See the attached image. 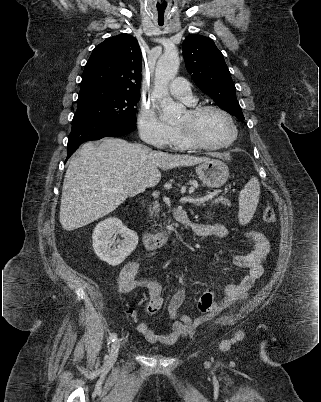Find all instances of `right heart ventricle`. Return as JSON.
Masks as SVG:
<instances>
[{
	"instance_id": "right-heart-ventricle-1",
	"label": "right heart ventricle",
	"mask_w": 321,
	"mask_h": 402,
	"mask_svg": "<svg viewBox=\"0 0 321 402\" xmlns=\"http://www.w3.org/2000/svg\"><path fill=\"white\" fill-rule=\"evenodd\" d=\"M176 149H180V150H186V149H190L192 147H190L189 145H187L181 134L179 133V131L175 128V132H174V136L172 139V143H171Z\"/></svg>"
}]
</instances>
